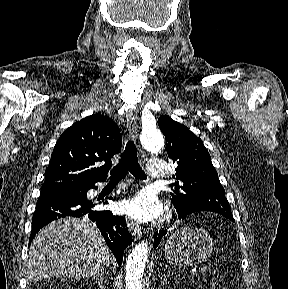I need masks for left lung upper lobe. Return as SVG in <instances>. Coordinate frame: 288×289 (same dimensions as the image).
<instances>
[{"mask_svg": "<svg viewBox=\"0 0 288 289\" xmlns=\"http://www.w3.org/2000/svg\"><path fill=\"white\" fill-rule=\"evenodd\" d=\"M158 125L166 139L168 156L177 165L172 176L176 182L170 185L176 210L188 214L212 211L234 222L225 190L202 140L167 115L158 119Z\"/></svg>", "mask_w": 288, "mask_h": 289, "instance_id": "obj_1", "label": "left lung upper lobe"}]
</instances>
